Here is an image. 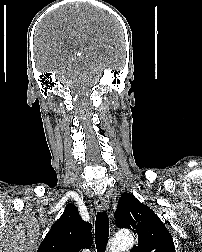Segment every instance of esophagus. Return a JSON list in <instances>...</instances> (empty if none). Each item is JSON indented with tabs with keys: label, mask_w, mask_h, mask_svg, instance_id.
I'll list each match as a JSON object with an SVG mask.
<instances>
[{
	"label": "esophagus",
	"mask_w": 202,
	"mask_h": 252,
	"mask_svg": "<svg viewBox=\"0 0 202 252\" xmlns=\"http://www.w3.org/2000/svg\"><path fill=\"white\" fill-rule=\"evenodd\" d=\"M94 204L97 211L107 210L109 207L102 196H97L94 200Z\"/></svg>",
	"instance_id": "esophagus-1"
}]
</instances>
